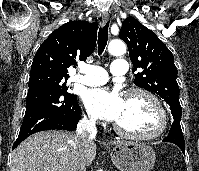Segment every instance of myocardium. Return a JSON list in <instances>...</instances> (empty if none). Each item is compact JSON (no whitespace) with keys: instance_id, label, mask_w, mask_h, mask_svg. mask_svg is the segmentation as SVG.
Masks as SVG:
<instances>
[{"instance_id":"1","label":"myocardium","mask_w":199,"mask_h":171,"mask_svg":"<svg viewBox=\"0 0 199 171\" xmlns=\"http://www.w3.org/2000/svg\"><path fill=\"white\" fill-rule=\"evenodd\" d=\"M133 95H142L150 100V102L153 104L157 112L158 126L153 132L150 133H134L122 129L117 123H115L114 124L115 132L123 137L136 139V140H152L160 137L164 133L167 127V113L162 102L154 93L141 87L129 89L125 94V98H128Z\"/></svg>"}]
</instances>
